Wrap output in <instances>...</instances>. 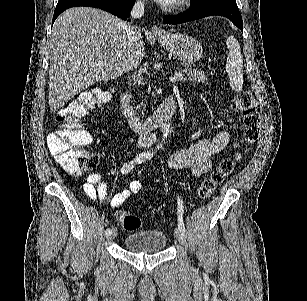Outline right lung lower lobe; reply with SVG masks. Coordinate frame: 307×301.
Here are the masks:
<instances>
[{"label":"right lung lower lobe","instance_id":"1","mask_svg":"<svg viewBox=\"0 0 307 301\" xmlns=\"http://www.w3.org/2000/svg\"><path fill=\"white\" fill-rule=\"evenodd\" d=\"M134 0H58L54 11L55 19L66 9L77 6H90L110 12L123 20L130 16Z\"/></svg>","mask_w":307,"mask_h":301}]
</instances>
